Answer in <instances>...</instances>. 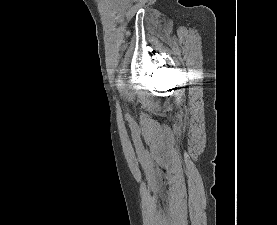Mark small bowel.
<instances>
[{
  "label": "small bowel",
  "instance_id": "1",
  "mask_svg": "<svg viewBox=\"0 0 277 225\" xmlns=\"http://www.w3.org/2000/svg\"><path fill=\"white\" fill-rule=\"evenodd\" d=\"M119 16V14H115V17H118Z\"/></svg>",
  "mask_w": 277,
  "mask_h": 225
}]
</instances>
